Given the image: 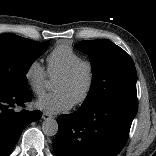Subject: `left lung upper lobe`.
<instances>
[{"label": "left lung upper lobe", "instance_id": "5c2ea615", "mask_svg": "<svg viewBox=\"0 0 156 156\" xmlns=\"http://www.w3.org/2000/svg\"><path fill=\"white\" fill-rule=\"evenodd\" d=\"M76 48L88 54L93 80L81 108L111 100L138 105L137 73L132 58L109 40H84Z\"/></svg>", "mask_w": 156, "mask_h": 156}]
</instances>
